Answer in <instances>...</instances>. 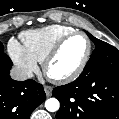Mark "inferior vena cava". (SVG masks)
Masks as SVG:
<instances>
[{
    "label": "inferior vena cava",
    "mask_w": 119,
    "mask_h": 119,
    "mask_svg": "<svg viewBox=\"0 0 119 119\" xmlns=\"http://www.w3.org/2000/svg\"><path fill=\"white\" fill-rule=\"evenodd\" d=\"M12 79L17 81H24L33 77V73L30 70H26L19 67H13L10 71Z\"/></svg>",
    "instance_id": "inferior-vena-cava-1"
}]
</instances>
